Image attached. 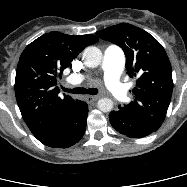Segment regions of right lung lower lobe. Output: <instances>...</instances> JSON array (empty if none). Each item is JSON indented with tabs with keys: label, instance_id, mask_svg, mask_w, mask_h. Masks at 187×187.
Wrapping results in <instances>:
<instances>
[{
	"label": "right lung lower lobe",
	"instance_id": "1",
	"mask_svg": "<svg viewBox=\"0 0 187 187\" xmlns=\"http://www.w3.org/2000/svg\"><path fill=\"white\" fill-rule=\"evenodd\" d=\"M88 105L80 101L49 131L40 137V142L49 147L66 148L77 143L85 133Z\"/></svg>",
	"mask_w": 187,
	"mask_h": 187
}]
</instances>
